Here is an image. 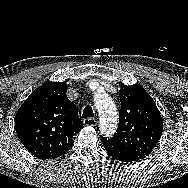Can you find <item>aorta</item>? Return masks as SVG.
Wrapping results in <instances>:
<instances>
[{
  "instance_id": "1",
  "label": "aorta",
  "mask_w": 188,
  "mask_h": 188,
  "mask_svg": "<svg viewBox=\"0 0 188 188\" xmlns=\"http://www.w3.org/2000/svg\"><path fill=\"white\" fill-rule=\"evenodd\" d=\"M94 101L99 114V130L102 135L110 137L117 128V108L106 93H97Z\"/></svg>"
}]
</instances>
